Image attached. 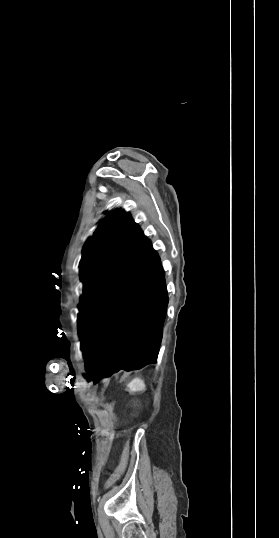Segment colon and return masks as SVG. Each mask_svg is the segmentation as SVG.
I'll return each instance as SVG.
<instances>
[{
  "label": "colon",
  "instance_id": "5ec220e1",
  "mask_svg": "<svg viewBox=\"0 0 279 538\" xmlns=\"http://www.w3.org/2000/svg\"><path fill=\"white\" fill-rule=\"evenodd\" d=\"M129 457H130V441L128 440L124 445L119 465L117 466L114 473L112 474V476L107 482V485H106L107 488L115 484L124 474L126 467L128 465Z\"/></svg>",
  "mask_w": 279,
  "mask_h": 538
}]
</instances>
